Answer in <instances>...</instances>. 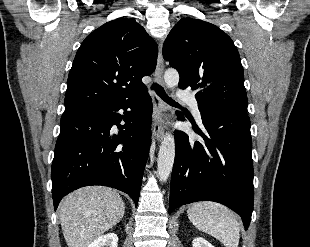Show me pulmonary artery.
I'll use <instances>...</instances> for the list:
<instances>
[{
	"mask_svg": "<svg viewBox=\"0 0 310 247\" xmlns=\"http://www.w3.org/2000/svg\"><path fill=\"white\" fill-rule=\"evenodd\" d=\"M178 97L190 106L196 119L199 122H201V114H200L199 104H198L197 99L192 94H189V93H180Z\"/></svg>",
	"mask_w": 310,
	"mask_h": 247,
	"instance_id": "1",
	"label": "pulmonary artery"
}]
</instances>
